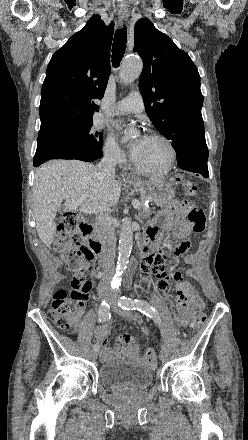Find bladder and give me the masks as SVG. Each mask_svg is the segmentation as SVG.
<instances>
[{
  "mask_svg": "<svg viewBox=\"0 0 248 440\" xmlns=\"http://www.w3.org/2000/svg\"><path fill=\"white\" fill-rule=\"evenodd\" d=\"M98 379L111 390L142 391L152 385L153 369L135 361L114 359L100 365Z\"/></svg>",
  "mask_w": 248,
  "mask_h": 440,
  "instance_id": "obj_1",
  "label": "bladder"
}]
</instances>
